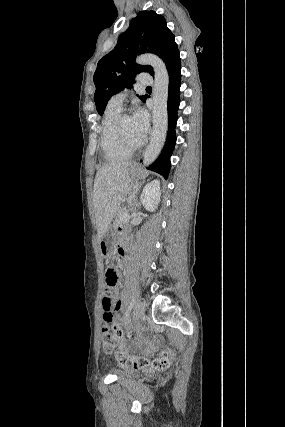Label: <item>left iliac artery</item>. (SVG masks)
I'll use <instances>...</instances> for the list:
<instances>
[{"label":"left iliac artery","mask_w":285,"mask_h":427,"mask_svg":"<svg viewBox=\"0 0 285 427\" xmlns=\"http://www.w3.org/2000/svg\"><path fill=\"white\" fill-rule=\"evenodd\" d=\"M134 305H135V299L133 298L132 301H131V303H130V305L128 306V309H127L126 313H125V317H124L125 320L128 318L129 313L133 309Z\"/></svg>","instance_id":"left-iliac-artery-1"}]
</instances>
